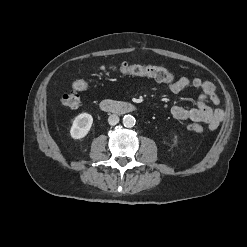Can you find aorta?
<instances>
[{
	"label": "aorta",
	"mask_w": 247,
	"mask_h": 247,
	"mask_svg": "<svg viewBox=\"0 0 247 247\" xmlns=\"http://www.w3.org/2000/svg\"><path fill=\"white\" fill-rule=\"evenodd\" d=\"M135 122L136 120L132 115H125L123 117V125L125 127L131 128L135 125Z\"/></svg>",
	"instance_id": "aorta-1"
}]
</instances>
